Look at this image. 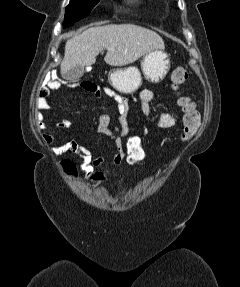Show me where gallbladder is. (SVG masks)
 <instances>
[{
  "instance_id": "obj_1",
  "label": "gallbladder",
  "mask_w": 240,
  "mask_h": 287,
  "mask_svg": "<svg viewBox=\"0 0 240 287\" xmlns=\"http://www.w3.org/2000/svg\"><path fill=\"white\" fill-rule=\"evenodd\" d=\"M84 70V66L77 65L66 73H63L62 77L67 81L74 82L79 80L83 76Z\"/></svg>"
}]
</instances>
